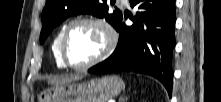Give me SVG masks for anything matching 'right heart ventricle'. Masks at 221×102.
<instances>
[{
	"mask_svg": "<svg viewBox=\"0 0 221 102\" xmlns=\"http://www.w3.org/2000/svg\"><path fill=\"white\" fill-rule=\"evenodd\" d=\"M65 25L60 27V29L57 31L55 37L53 38L52 44H51V51L52 55L55 61V64L57 65L58 68H65V65L63 64L61 57H60V40L63 34V31L65 29Z\"/></svg>",
	"mask_w": 221,
	"mask_h": 102,
	"instance_id": "1",
	"label": "right heart ventricle"
}]
</instances>
